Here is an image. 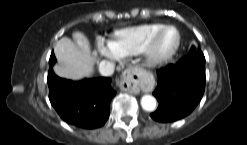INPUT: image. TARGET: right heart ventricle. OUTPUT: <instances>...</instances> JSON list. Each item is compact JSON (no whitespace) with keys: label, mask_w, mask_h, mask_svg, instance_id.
<instances>
[{"label":"right heart ventricle","mask_w":247,"mask_h":145,"mask_svg":"<svg viewBox=\"0 0 247 145\" xmlns=\"http://www.w3.org/2000/svg\"><path fill=\"white\" fill-rule=\"evenodd\" d=\"M163 25L152 22L118 30L109 44L121 57L135 56L142 52L152 34Z\"/></svg>","instance_id":"1"}]
</instances>
